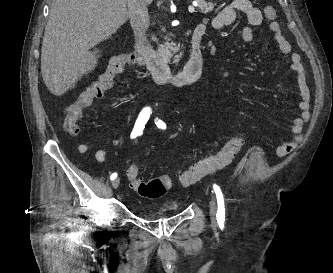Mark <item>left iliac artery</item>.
<instances>
[{"label":"left iliac artery","mask_w":333,"mask_h":273,"mask_svg":"<svg viewBox=\"0 0 333 273\" xmlns=\"http://www.w3.org/2000/svg\"><path fill=\"white\" fill-rule=\"evenodd\" d=\"M155 124L157 125L158 128L161 129H166V124L157 119ZM213 189L215 191L216 194V198H217V205H218V209H217V222L219 225H223L225 222V205H224V197L222 194V191L220 189V187L216 184H213Z\"/></svg>","instance_id":"1"}]
</instances>
